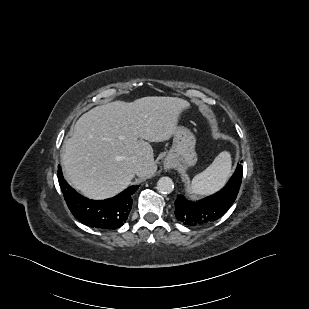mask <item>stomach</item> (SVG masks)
Listing matches in <instances>:
<instances>
[{"instance_id": "0dacf381", "label": "stomach", "mask_w": 309, "mask_h": 309, "mask_svg": "<svg viewBox=\"0 0 309 309\" xmlns=\"http://www.w3.org/2000/svg\"><path fill=\"white\" fill-rule=\"evenodd\" d=\"M195 145L194 134L184 126H177L173 133V145L166 156L165 163H172L181 171H185L197 162Z\"/></svg>"}]
</instances>
